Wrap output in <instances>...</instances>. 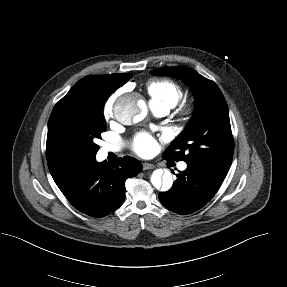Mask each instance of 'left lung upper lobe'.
<instances>
[{"label":"left lung upper lobe","mask_w":287,"mask_h":287,"mask_svg":"<svg viewBox=\"0 0 287 287\" xmlns=\"http://www.w3.org/2000/svg\"><path fill=\"white\" fill-rule=\"evenodd\" d=\"M151 73L183 79L193 89L196 101L193 117L163 153V158L200 165L226 177L234 143L228 107L219 87L195 70L183 66L162 67Z\"/></svg>","instance_id":"left-lung-upper-lobe-1"}]
</instances>
